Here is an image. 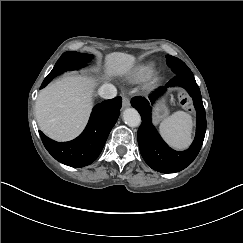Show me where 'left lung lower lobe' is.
<instances>
[{"label":"left lung lower lobe","mask_w":243,"mask_h":243,"mask_svg":"<svg viewBox=\"0 0 243 243\" xmlns=\"http://www.w3.org/2000/svg\"><path fill=\"white\" fill-rule=\"evenodd\" d=\"M183 87L193 98L197 112L196 136L192 145L186 151L178 152L171 149L160 137L151 123L150 102L159 96L167 87ZM150 102L144 97H134L132 106L138 110L142 124L137 138L140 152L145 162L154 170L161 173H175L191 164L198 155L206 132V115L203 107L200 89L193 75L176 74L165 87H160L149 96Z\"/></svg>","instance_id":"1"}]
</instances>
